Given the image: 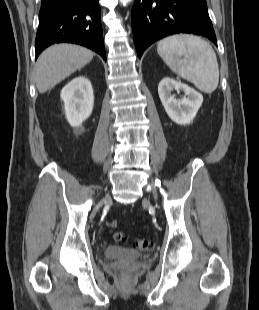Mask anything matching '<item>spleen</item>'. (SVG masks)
<instances>
[{
  "label": "spleen",
  "instance_id": "obj_1",
  "mask_svg": "<svg viewBox=\"0 0 259 310\" xmlns=\"http://www.w3.org/2000/svg\"><path fill=\"white\" fill-rule=\"evenodd\" d=\"M157 52L174 73L193 83L200 91L212 93L216 90L219 66L207 41L194 35H173L158 43Z\"/></svg>",
  "mask_w": 259,
  "mask_h": 310
}]
</instances>
